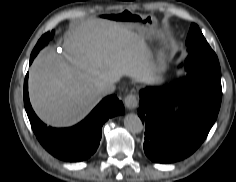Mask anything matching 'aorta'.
<instances>
[{"mask_svg": "<svg viewBox=\"0 0 236 182\" xmlns=\"http://www.w3.org/2000/svg\"><path fill=\"white\" fill-rule=\"evenodd\" d=\"M124 126L133 134H138L143 130V124L140 117L133 113L127 114L124 117Z\"/></svg>", "mask_w": 236, "mask_h": 182, "instance_id": "aorta-1", "label": "aorta"}]
</instances>
